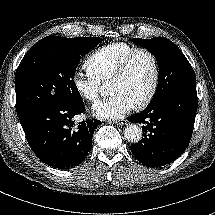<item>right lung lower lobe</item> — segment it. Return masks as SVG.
Listing matches in <instances>:
<instances>
[{
  "mask_svg": "<svg viewBox=\"0 0 215 215\" xmlns=\"http://www.w3.org/2000/svg\"><path fill=\"white\" fill-rule=\"evenodd\" d=\"M85 111L82 103L61 101L39 103L18 114L27 141L35 155L58 169L78 166L92 148V136L101 123L97 119L79 122L73 130L74 116Z\"/></svg>",
  "mask_w": 215,
  "mask_h": 215,
  "instance_id": "1",
  "label": "right lung lower lobe"
}]
</instances>
